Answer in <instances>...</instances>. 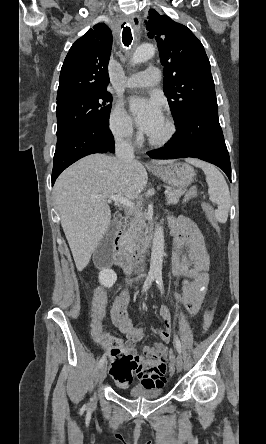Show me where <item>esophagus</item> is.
Masks as SVG:
<instances>
[{"mask_svg":"<svg viewBox=\"0 0 266 444\" xmlns=\"http://www.w3.org/2000/svg\"><path fill=\"white\" fill-rule=\"evenodd\" d=\"M130 23L132 24V26L134 27V29L136 31H138L140 29V24H141V19L139 17V15L134 14L130 17ZM149 166H154V163H148Z\"/></svg>","mask_w":266,"mask_h":444,"instance_id":"obj_1","label":"esophagus"}]
</instances>
